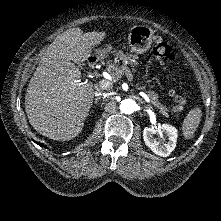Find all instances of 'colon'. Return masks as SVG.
I'll return each mask as SVG.
<instances>
[{"mask_svg": "<svg viewBox=\"0 0 221 221\" xmlns=\"http://www.w3.org/2000/svg\"><path fill=\"white\" fill-rule=\"evenodd\" d=\"M154 59L161 64H169L176 60L172 47L162 37H156L152 49ZM174 111L181 114L185 108L186 99L182 91L173 92Z\"/></svg>", "mask_w": 221, "mask_h": 221, "instance_id": "colon-1", "label": "colon"}]
</instances>
